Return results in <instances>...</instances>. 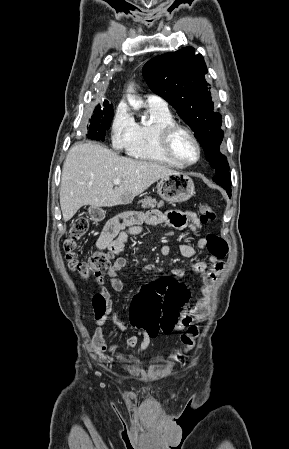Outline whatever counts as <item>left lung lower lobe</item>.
Listing matches in <instances>:
<instances>
[{
  "label": "left lung lower lobe",
  "instance_id": "left-lung-lower-lobe-1",
  "mask_svg": "<svg viewBox=\"0 0 289 449\" xmlns=\"http://www.w3.org/2000/svg\"><path fill=\"white\" fill-rule=\"evenodd\" d=\"M223 188L227 191L229 197H231V186H224Z\"/></svg>",
  "mask_w": 289,
  "mask_h": 449
}]
</instances>
